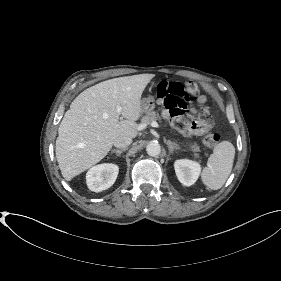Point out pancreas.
<instances>
[{
  "label": "pancreas",
  "instance_id": "cf45deb5",
  "mask_svg": "<svg viewBox=\"0 0 281 281\" xmlns=\"http://www.w3.org/2000/svg\"><path fill=\"white\" fill-rule=\"evenodd\" d=\"M156 120H161L160 115L156 112V111H150L147 112L143 117H142V121L144 123H151L152 121H156ZM190 148L193 152H196L194 154L195 158L199 157V154L197 152L200 151V147L198 146L197 143H193L190 145Z\"/></svg>",
  "mask_w": 281,
  "mask_h": 281
}]
</instances>
